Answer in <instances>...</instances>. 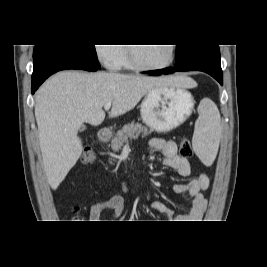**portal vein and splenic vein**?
I'll list each match as a JSON object with an SVG mask.
<instances>
[{
    "label": "portal vein and splenic vein",
    "mask_w": 267,
    "mask_h": 267,
    "mask_svg": "<svg viewBox=\"0 0 267 267\" xmlns=\"http://www.w3.org/2000/svg\"><path fill=\"white\" fill-rule=\"evenodd\" d=\"M110 107H111V102H108V103H106V104L104 105V109H105V110H109Z\"/></svg>",
    "instance_id": "18ae733b"
}]
</instances>
